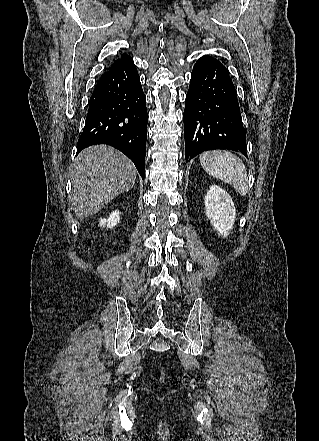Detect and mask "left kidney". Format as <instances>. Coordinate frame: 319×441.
<instances>
[{"label": "left kidney", "instance_id": "obj_1", "mask_svg": "<svg viewBox=\"0 0 319 441\" xmlns=\"http://www.w3.org/2000/svg\"><path fill=\"white\" fill-rule=\"evenodd\" d=\"M205 214L222 237H227L236 220V210L230 195L218 187L210 186L205 196Z\"/></svg>", "mask_w": 319, "mask_h": 441}]
</instances>
